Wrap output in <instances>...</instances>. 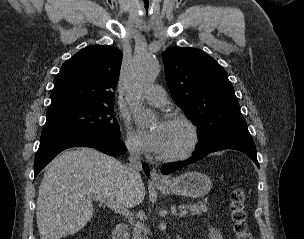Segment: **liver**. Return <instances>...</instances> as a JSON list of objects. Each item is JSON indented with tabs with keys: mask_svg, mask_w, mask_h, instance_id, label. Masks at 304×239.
Here are the masks:
<instances>
[{
	"mask_svg": "<svg viewBox=\"0 0 304 239\" xmlns=\"http://www.w3.org/2000/svg\"><path fill=\"white\" fill-rule=\"evenodd\" d=\"M125 165L91 148L64 151L47 167L39 187L36 217L41 239H60L80 231L92 218L93 198L124 208L145 197L141 178L130 182Z\"/></svg>",
	"mask_w": 304,
	"mask_h": 239,
	"instance_id": "1",
	"label": "liver"
}]
</instances>
